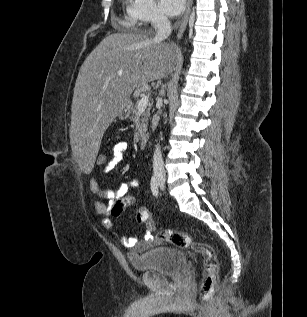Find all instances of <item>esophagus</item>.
Returning <instances> with one entry per match:
<instances>
[{"instance_id":"esophagus-1","label":"esophagus","mask_w":307,"mask_h":317,"mask_svg":"<svg viewBox=\"0 0 307 317\" xmlns=\"http://www.w3.org/2000/svg\"><path fill=\"white\" fill-rule=\"evenodd\" d=\"M191 6H192V0H187L186 11L184 13L182 20L180 21V25H179V29H178L177 40L182 38L184 31L187 27V23H188L190 11H191Z\"/></svg>"}]
</instances>
